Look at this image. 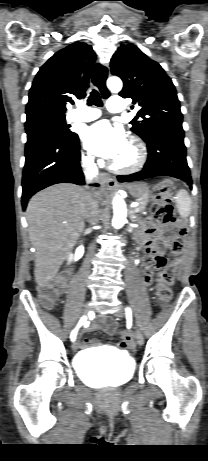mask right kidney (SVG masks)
Masks as SVG:
<instances>
[{
	"instance_id": "right-kidney-1",
	"label": "right kidney",
	"mask_w": 208,
	"mask_h": 461,
	"mask_svg": "<svg viewBox=\"0 0 208 461\" xmlns=\"http://www.w3.org/2000/svg\"><path fill=\"white\" fill-rule=\"evenodd\" d=\"M84 253V247L83 246H80L76 249V254H83ZM74 259V255L72 253H70L68 255V263H71Z\"/></svg>"
}]
</instances>
